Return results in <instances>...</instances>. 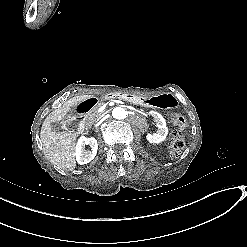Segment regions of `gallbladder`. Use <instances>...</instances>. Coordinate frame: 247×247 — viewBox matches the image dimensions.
Segmentation results:
<instances>
[{
  "mask_svg": "<svg viewBox=\"0 0 247 247\" xmlns=\"http://www.w3.org/2000/svg\"><path fill=\"white\" fill-rule=\"evenodd\" d=\"M50 126L51 131H55L56 133H60L62 131V128L60 127V124L58 122L51 123L48 122V124H45V127Z\"/></svg>",
  "mask_w": 247,
  "mask_h": 247,
  "instance_id": "1",
  "label": "gallbladder"
}]
</instances>
